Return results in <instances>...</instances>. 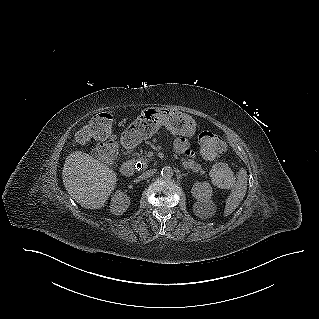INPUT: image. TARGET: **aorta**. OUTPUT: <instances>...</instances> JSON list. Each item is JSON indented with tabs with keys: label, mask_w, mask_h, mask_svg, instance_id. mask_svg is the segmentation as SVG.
Instances as JSON below:
<instances>
[{
	"label": "aorta",
	"mask_w": 319,
	"mask_h": 319,
	"mask_svg": "<svg viewBox=\"0 0 319 319\" xmlns=\"http://www.w3.org/2000/svg\"><path fill=\"white\" fill-rule=\"evenodd\" d=\"M173 173L174 172H173V169L171 167L165 166V167L162 168L161 176L164 179H170V178H172Z\"/></svg>",
	"instance_id": "obj_1"
}]
</instances>
